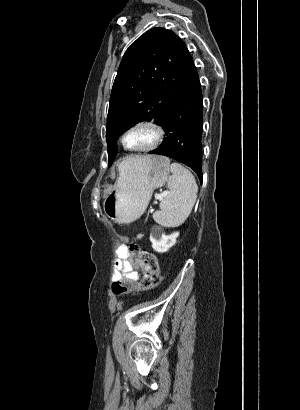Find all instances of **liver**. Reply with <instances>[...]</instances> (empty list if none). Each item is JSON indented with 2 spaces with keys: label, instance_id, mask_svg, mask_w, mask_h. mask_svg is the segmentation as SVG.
Wrapping results in <instances>:
<instances>
[{
  "label": "liver",
  "instance_id": "1",
  "mask_svg": "<svg viewBox=\"0 0 300 410\" xmlns=\"http://www.w3.org/2000/svg\"><path fill=\"white\" fill-rule=\"evenodd\" d=\"M145 159H147V156H140V155L130 156L127 159H125V164L127 167H133Z\"/></svg>",
  "mask_w": 300,
  "mask_h": 410
}]
</instances>
